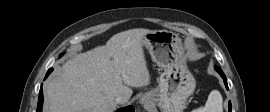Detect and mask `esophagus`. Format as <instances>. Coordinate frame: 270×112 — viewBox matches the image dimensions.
<instances>
[{"mask_svg": "<svg viewBox=\"0 0 270 112\" xmlns=\"http://www.w3.org/2000/svg\"><path fill=\"white\" fill-rule=\"evenodd\" d=\"M139 103H140L141 105L148 106V105L151 103V101H150V99H149L148 96H142V97L139 99Z\"/></svg>", "mask_w": 270, "mask_h": 112, "instance_id": "1", "label": "esophagus"}]
</instances>
